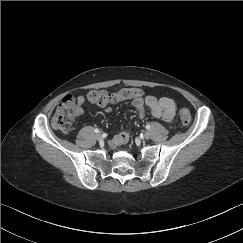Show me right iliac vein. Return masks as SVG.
Masks as SVG:
<instances>
[{
  "mask_svg": "<svg viewBox=\"0 0 243 243\" xmlns=\"http://www.w3.org/2000/svg\"><path fill=\"white\" fill-rule=\"evenodd\" d=\"M96 139H97V140H100V139H101V134H97V135H96Z\"/></svg>",
  "mask_w": 243,
  "mask_h": 243,
  "instance_id": "right-iliac-vein-1",
  "label": "right iliac vein"
}]
</instances>
